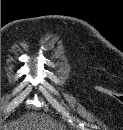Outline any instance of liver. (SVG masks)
I'll return each mask as SVG.
<instances>
[{"instance_id":"obj_1","label":"liver","mask_w":123,"mask_h":130,"mask_svg":"<svg viewBox=\"0 0 123 130\" xmlns=\"http://www.w3.org/2000/svg\"><path fill=\"white\" fill-rule=\"evenodd\" d=\"M6 130H53L51 119L45 114H26L8 124Z\"/></svg>"}]
</instances>
